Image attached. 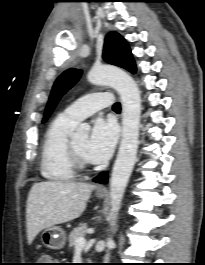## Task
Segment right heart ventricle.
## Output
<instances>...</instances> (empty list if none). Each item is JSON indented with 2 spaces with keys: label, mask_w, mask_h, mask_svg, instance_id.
I'll return each mask as SVG.
<instances>
[{
  "label": "right heart ventricle",
  "mask_w": 205,
  "mask_h": 265,
  "mask_svg": "<svg viewBox=\"0 0 205 265\" xmlns=\"http://www.w3.org/2000/svg\"><path fill=\"white\" fill-rule=\"evenodd\" d=\"M76 122L63 114L48 127L41 149V174L50 181L67 182L75 177L69 152V130Z\"/></svg>",
  "instance_id": "1"
}]
</instances>
